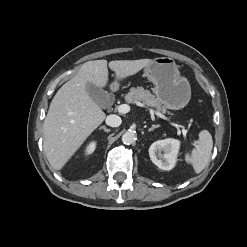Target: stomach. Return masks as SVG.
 Returning a JSON list of instances; mask_svg holds the SVG:
<instances>
[{
  "label": "stomach",
  "instance_id": "0dacf381",
  "mask_svg": "<svg viewBox=\"0 0 247 247\" xmlns=\"http://www.w3.org/2000/svg\"><path fill=\"white\" fill-rule=\"evenodd\" d=\"M144 73L153 83L156 98L166 108L179 110L184 108L191 98V87L183 77L175 61L170 57H158L152 60Z\"/></svg>",
  "mask_w": 247,
  "mask_h": 247
}]
</instances>
